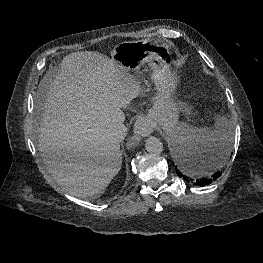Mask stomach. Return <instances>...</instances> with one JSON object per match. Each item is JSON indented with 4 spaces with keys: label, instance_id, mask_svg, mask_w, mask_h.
<instances>
[{
    "label": "stomach",
    "instance_id": "obj_1",
    "mask_svg": "<svg viewBox=\"0 0 263 263\" xmlns=\"http://www.w3.org/2000/svg\"><path fill=\"white\" fill-rule=\"evenodd\" d=\"M174 48L172 45L149 39L121 42L111 52L112 60L129 71L139 74L148 63L156 94L145 119L158 124L168 136L175 133L179 112L185 106L173 98L178 76L173 69Z\"/></svg>",
    "mask_w": 263,
    "mask_h": 263
}]
</instances>
